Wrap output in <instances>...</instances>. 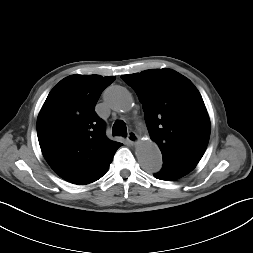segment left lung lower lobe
Instances as JSON below:
<instances>
[{"label":"left lung lower lobe","mask_w":253,"mask_h":253,"mask_svg":"<svg viewBox=\"0 0 253 253\" xmlns=\"http://www.w3.org/2000/svg\"><path fill=\"white\" fill-rule=\"evenodd\" d=\"M194 167L190 164L164 161L161 171L154 174V177L160 180L172 181L188 174Z\"/></svg>","instance_id":"left-lung-lower-lobe-1"}]
</instances>
